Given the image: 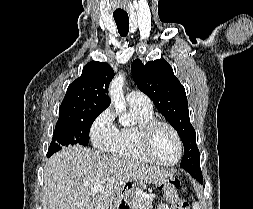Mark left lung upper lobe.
I'll list each match as a JSON object with an SVG mask.
<instances>
[{
	"mask_svg": "<svg viewBox=\"0 0 253 209\" xmlns=\"http://www.w3.org/2000/svg\"><path fill=\"white\" fill-rule=\"evenodd\" d=\"M131 72L138 88L150 97L179 134L185 152L180 166L188 173L195 172L200 168L196 133L190 123L185 89L171 66L164 59L149 61L145 65L136 59L131 65Z\"/></svg>",
	"mask_w": 253,
	"mask_h": 209,
	"instance_id": "obj_1",
	"label": "left lung upper lobe"
}]
</instances>
